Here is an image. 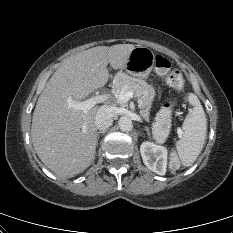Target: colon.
<instances>
[{"label": "colon", "mask_w": 233, "mask_h": 233, "mask_svg": "<svg viewBox=\"0 0 233 233\" xmlns=\"http://www.w3.org/2000/svg\"><path fill=\"white\" fill-rule=\"evenodd\" d=\"M154 66L158 75L166 77V82L170 87L175 90L183 88L184 80L182 74L177 70H171V63L167 58L162 55H155ZM173 107V103L164 105L157 116L153 136L158 143H163L167 138L171 126ZM180 166L181 162L177 154L172 152L169 156V169L175 172Z\"/></svg>", "instance_id": "1"}]
</instances>
